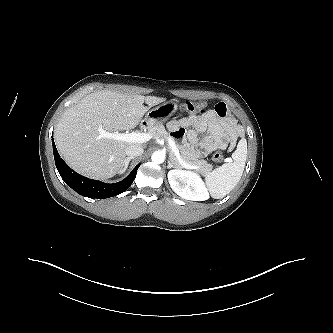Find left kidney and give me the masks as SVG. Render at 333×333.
I'll use <instances>...</instances> for the list:
<instances>
[{
  "mask_svg": "<svg viewBox=\"0 0 333 333\" xmlns=\"http://www.w3.org/2000/svg\"><path fill=\"white\" fill-rule=\"evenodd\" d=\"M168 181L173 191L184 199L193 201L209 199L208 190L197 173L180 169L171 170L168 172Z\"/></svg>",
  "mask_w": 333,
  "mask_h": 333,
  "instance_id": "1",
  "label": "left kidney"
}]
</instances>
